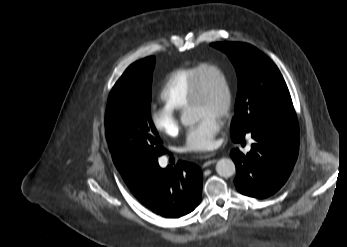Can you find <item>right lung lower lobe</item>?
<instances>
[{"label":"right lung lower lobe","mask_w":347,"mask_h":247,"mask_svg":"<svg viewBox=\"0 0 347 247\" xmlns=\"http://www.w3.org/2000/svg\"><path fill=\"white\" fill-rule=\"evenodd\" d=\"M127 185L134 196L153 212L167 218H179L199 205L202 173L193 163L179 161L176 168L167 166L162 169L157 161L140 168Z\"/></svg>","instance_id":"obj_1"}]
</instances>
